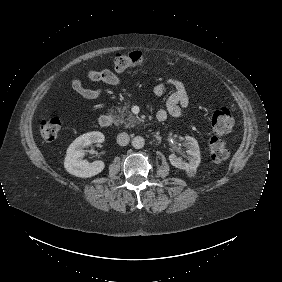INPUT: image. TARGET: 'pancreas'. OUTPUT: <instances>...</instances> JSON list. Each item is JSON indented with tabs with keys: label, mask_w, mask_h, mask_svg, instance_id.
Instances as JSON below:
<instances>
[{
	"label": "pancreas",
	"mask_w": 282,
	"mask_h": 282,
	"mask_svg": "<svg viewBox=\"0 0 282 282\" xmlns=\"http://www.w3.org/2000/svg\"><path fill=\"white\" fill-rule=\"evenodd\" d=\"M132 105L133 104L130 103L129 101H125L122 109L120 107H117V112L119 115L114 122L115 125L119 124V125H125L126 127H129V126H135L136 124H138V118H136L134 114H132L128 110L129 106H132Z\"/></svg>",
	"instance_id": "obj_1"
}]
</instances>
